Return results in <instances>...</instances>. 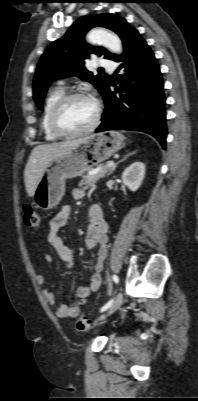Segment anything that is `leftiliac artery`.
Here are the masks:
<instances>
[{
    "mask_svg": "<svg viewBox=\"0 0 198 401\" xmlns=\"http://www.w3.org/2000/svg\"><path fill=\"white\" fill-rule=\"evenodd\" d=\"M112 280H113L116 284H118V282H119V278H118V276H116V275H112ZM112 303H113V299L110 300L107 304H105V305L101 308L100 312H103V311L107 310V309L112 305Z\"/></svg>",
    "mask_w": 198,
    "mask_h": 401,
    "instance_id": "obj_1",
    "label": "left iliac artery"
}]
</instances>
